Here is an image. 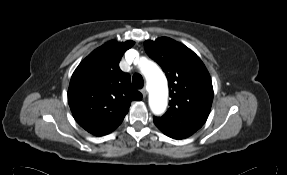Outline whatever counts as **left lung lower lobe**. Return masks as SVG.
<instances>
[{
    "label": "left lung lower lobe",
    "mask_w": 287,
    "mask_h": 175,
    "mask_svg": "<svg viewBox=\"0 0 287 175\" xmlns=\"http://www.w3.org/2000/svg\"><path fill=\"white\" fill-rule=\"evenodd\" d=\"M161 130V129H160ZM165 135H167V136H169V137H171V138H174V139H181V138H179V137H177V136H175V135H173V134H171V133H169V132H167V131H164V130H161Z\"/></svg>",
    "instance_id": "obj_1"
}]
</instances>
